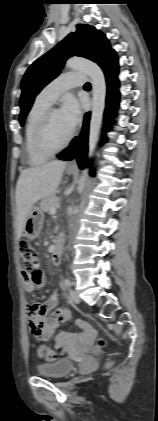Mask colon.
Returning <instances> with one entry per match:
<instances>
[{
    "mask_svg": "<svg viewBox=\"0 0 158 421\" xmlns=\"http://www.w3.org/2000/svg\"><path fill=\"white\" fill-rule=\"evenodd\" d=\"M18 248L23 273L33 274L38 270L39 266V256L36 249L27 240H21ZM27 288L30 290L35 289L36 283L34 281H29L27 283ZM57 316H61V314H57ZM98 345L102 347L104 345V341L102 339L99 340ZM38 355L47 362H52L57 359L56 352L45 346H41L38 349Z\"/></svg>",
    "mask_w": 158,
    "mask_h": 421,
    "instance_id": "colon-1",
    "label": "colon"
}]
</instances>
